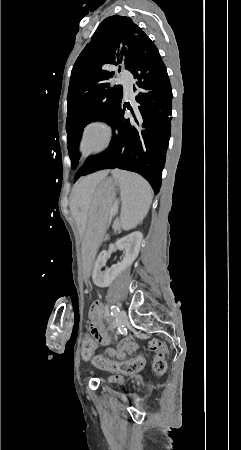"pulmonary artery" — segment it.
I'll list each match as a JSON object with an SVG mask.
<instances>
[{
	"mask_svg": "<svg viewBox=\"0 0 241 450\" xmlns=\"http://www.w3.org/2000/svg\"><path fill=\"white\" fill-rule=\"evenodd\" d=\"M133 78V73L131 71H124L122 73V76L120 77V82L123 84V88L125 95L130 96L133 93L132 90V82L131 79Z\"/></svg>",
	"mask_w": 241,
	"mask_h": 450,
	"instance_id": "e3ab8cb5",
	"label": "pulmonary artery"
}]
</instances>
